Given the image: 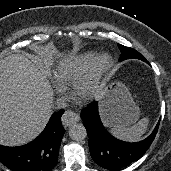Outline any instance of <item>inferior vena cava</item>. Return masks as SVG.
I'll use <instances>...</instances> for the list:
<instances>
[{"mask_svg":"<svg viewBox=\"0 0 171 171\" xmlns=\"http://www.w3.org/2000/svg\"><path fill=\"white\" fill-rule=\"evenodd\" d=\"M56 107H57V109H63V108H65L66 107L65 101L62 98H58L56 100Z\"/></svg>","mask_w":171,"mask_h":171,"instance_id":"obj_1","label":"inferior vena cava"}]
</instances>
